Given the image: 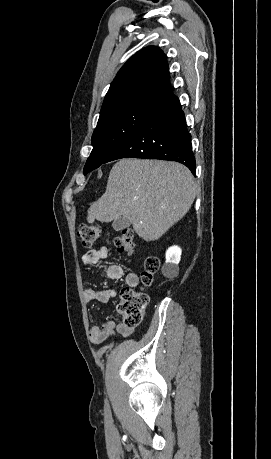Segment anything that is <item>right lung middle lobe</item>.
<instances>
[{"instance_id": "obj_1", "label": "right lung middle lobe", "mask_w": 271, "mask_h": 459, "mask_svg": "<svg viewBox=\"0 0 271 459\" xmlns=\"http://www.w3.org/2000/svg\"><path fill=\"white\" fill-rule=\"evenodd\" d=\"M156 113L146 109H131L100 117L92 135L93 150L84 167V174L96 169L131 134Z\"/></svg>"}]
</instances>
